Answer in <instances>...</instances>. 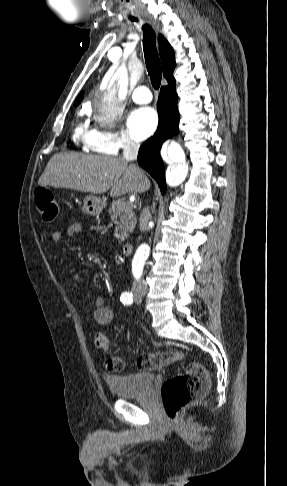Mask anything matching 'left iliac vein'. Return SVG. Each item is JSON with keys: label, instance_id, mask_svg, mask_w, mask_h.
<instances>
[{"label": "left iliac vein", "instance_id": "left-iliac-vein-1", "mask_svg": "<svg viewBox=\"0 0 287 486\" xmlns=\"http://www.w3.org/2000/svg\"><path fill=\"white\" fill-rule=\"evenodd\" d=\"M135 302H136L137 304H140V303L142 302V298H141V297H139V296H136V297H135Z\"/></svg>", "mask_w": 287, "mask_h": 486}]
</instances>
